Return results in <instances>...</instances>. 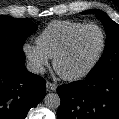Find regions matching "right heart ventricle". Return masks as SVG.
Instances as JSON below:
<instances>
[{
    "instance_id": "right-heart-ventricle-1",
    "label": "right heart ventricle",
    "mask_w": 119,
    "mask_h": 119,
    "mask_svg": "<svg viewBox=\"0 0 119 119\" xmlns=\"http://www.w3.org/2000/svg\"><path fill=\"white\" fill-rule=\"evenodd\" d=\"M83 25L82 22L69 20L53 21L39 34L37 45L49 58H53L70 35Z\"/></svg>"
}]
</instances>
